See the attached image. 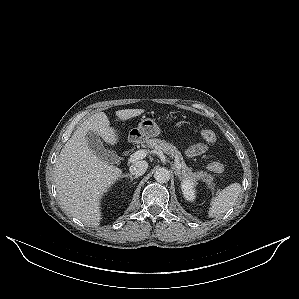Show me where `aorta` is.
<instances>
[{
  "label": "aorta",
  "mask_w": 299,
  "mask_h": 299,
  "mask_svg": "<svg viewBox=\"0 0 299 299\" xmlns=\"http://www.w3.org/2000/svg\"><path fill=\"white\" fill-rule=\"evenodd\" d=\"M154 178L159 183H166L170 179V172L164 167H159L154 172Z\"/></svg>",
  "instance_id": "obj_1"
}]
</instances>
